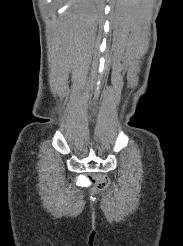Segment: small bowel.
<instances>
[{
  "instance_id": "c3829d8e",
  "label": "small bowel",
  "mask_w": 183,
  "mask_h": 246,
  "mask_svg": "<svg viewBox=\"0 0 183 246\" xmlns=\"http://www.w3.org/2000/svg\"><path fill=\"white\" fill-rule=\"evenodd\" d=\"M79 179H86V174H79ZM77 185H87V180H77Z\"/></svg>"
}]
</instances>
